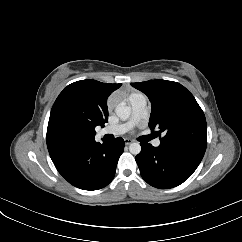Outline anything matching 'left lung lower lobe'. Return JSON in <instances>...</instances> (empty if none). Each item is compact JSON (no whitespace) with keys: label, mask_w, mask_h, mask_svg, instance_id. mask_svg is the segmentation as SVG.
<instances>
[{"label":"left lung lower lobe","mask_w":242,"mask_h":242,"mask_svg":"<svg viewBox=\"0 0 242 242\" xmlns=\"http://www.w3.org/2000/svg\"><path fill=\"white\" fill-rule=\"evenodd\" d=\"M142 150L135 157L142 178L159 189L173 188L187 180L200 164L204 152L170 147H153L140 143Z\"/></svg>","instance_id":"1"}]
</instances>
